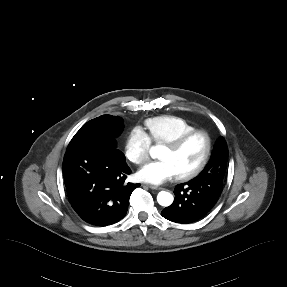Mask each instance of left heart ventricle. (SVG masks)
<instances>
[{
  "label": "left heart ventricle",
  "instance_id": "b2bd125f",
  "mask_svg": "<svg viewBox=\"0 0 287 287\" xmlns=\"http://www.w3.org/2000/svg\"><path fill=\"white\" fill-rule=\"evenodd\" d=\"M204 150V138L202 136H196L177 152L165 147L159 158L161 160L169 161L174 167L177 175H179L195 167L200 162Z\"/></svg>",
  "mask_w": 287,
  "mask_h": 287
}]
</instances>
